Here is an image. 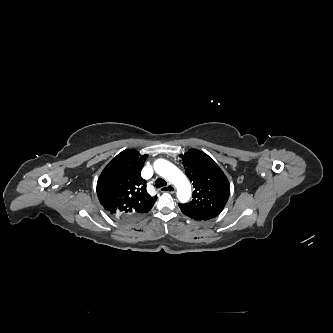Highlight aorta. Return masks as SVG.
<instances>
[{
	"label": "aorta",
	"mask_w": 333,
	"mask_h": 333,
	"mask_svg": "<svg viewBox=\"0 0 333 333\" xmlns=\"http://www.w3.org/2000/svg\"><path fill=\"white\" fill-rule=\"evenodd\" d=\"M154 170L177 188V198L185 203L191 197V185L187 177L175 165L164 159L154 162Z\"/></svg>",
	"instance_id": "aorta-1"
}]
</instances>
